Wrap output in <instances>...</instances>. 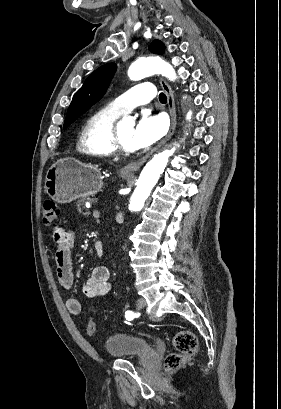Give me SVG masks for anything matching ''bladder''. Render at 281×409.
<instances>
[{
  "instance_id": "obj_1",
  "label": "bladder",
  "mask_w": 281,
  "mask_h": 409,
  "mask_svg": "<svg viewBox=\"0 0 281 409\" xmlns=\"http://www.w3.org/2000/svg\"><path fill=\"white\" fill-rule=\"evenodd\" d=\"M104 353L117 359H133V355H156L150 340L123 332L107 335L103 341Z\"/></svg>"
}]
</instances>
